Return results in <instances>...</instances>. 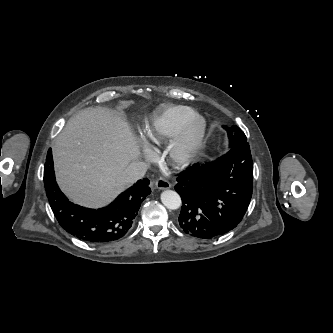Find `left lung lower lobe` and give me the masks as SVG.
Returning <instances> with one entry per match:
<instances>
[{"label": "left lung lower lobe", "instance_id": "1", "mask_svg": "<svg viewBox=\"0 0 333 333\" xmlns=\"http://www.w3.org/2000/svg\"><path fill=\"white\" fill-rule=\"evenodd\" d=\"M224 128L230 150L217 160L194 164L177 177L176 192L181 196L179 224L185 233L209 239L234 229L250 204L253 188V162L249 143L232 145L245 137L237 126Z\"/></svg>", "mask_w": 333, "mask_h": 333}]
</instances>
